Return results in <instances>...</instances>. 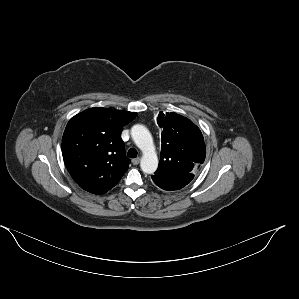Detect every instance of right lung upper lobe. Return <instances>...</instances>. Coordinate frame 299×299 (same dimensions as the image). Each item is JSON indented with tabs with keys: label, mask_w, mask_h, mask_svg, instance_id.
<instances>
[{
	"label": "right lung upper lobe",
	"mask_w": 299,
	"mask_h": 299,
	"mask_svg": "<svg viewBox=\"0 0 299 299\" xmlns=\"http://www.w3.org/2000/svg\"><path fill=\"white\" fill-rule=\"evenodd\" d=\"M136 116L135 112L95 107L70 119L62 138V154L82 189L104 194L119 182L130 164L121 131Z\"/></svg>",
	"instance_id": "obj_1"
}]
</instances>
